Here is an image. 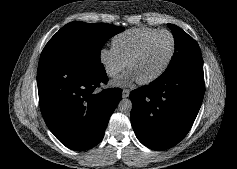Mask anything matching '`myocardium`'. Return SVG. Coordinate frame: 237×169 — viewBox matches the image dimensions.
<instances>
[{
  "label": "myocardium",
  "mask_w": 237,
  "mask_h": 169,
  "mask_svg": "<svg viewBox=\"0 0 237 169\" xmlns=\"http://www.w3.org/2000/svg\"><path fill=\"white\" fill-rule=\"evenodd\" d=\"M161 34H167L170 36L171 38V42H172V47H171V52L166 60V62L164 63V65L154 74H152L151 76L145 78V79H141V80H137V82L139 84L145 85V84H149L155 80H157L159 77H161L165 71L168 69L169 65L171 64L175 52H176V41H175V37L174 35L168 31V30H159L157 32H155L154 34H152L151 36H149L147 39H145L141 45L136 49V51L130 56V58L128 59V61L126 62V67L128 70H130V66L132 64V62L134 60H136L138 57L141 56L142 52L144 51V49L147 47V45L158 35Z\"/></svg>",
  "instance_id": "obj_1"
}]
</instances>
